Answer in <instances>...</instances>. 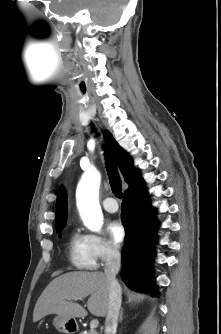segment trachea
Segmentation results:
<instances>
[{"label":"trachea","instance_id":"obj_1","mask_svg":"<svg viewBox=\"0 0 221 334\" xmlns=\"http://www.w3.org/2000/svg\"><path fill=\"white\" fill-rule=\"evenodd\" d=\"M106 159H107V171L110 178L111 190L116 197L120 198L122 197V183L115 169L111 155L109 154L108 151L106 152Z\"/></svg>","mask_w":221,"mask_h":334}]
</instances>
